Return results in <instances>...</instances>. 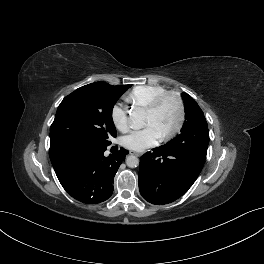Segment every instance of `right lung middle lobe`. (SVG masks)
I'll return each mask as SVG.
<instances>
[{
	"instance_id": "dd1d6c3e",
	"label": "right lung middle lobe",
	"mask_w": 264,
	"mask_h": 264,
	"mask_svg": "<svg viewBox=\"0 0 264 264\" xmlns=\"http://www.w3.org/2000/svg\"><path fill=\"white\" fill-rule=\"evenodd\" d=\"M129 87L97 82L80 87L66 96L51 125L50 146L66 141L110 145L109 138L117 135L112 110Z\"/></svg>"
}]
</instances>
